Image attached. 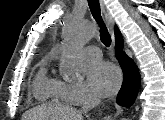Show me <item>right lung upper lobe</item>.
Masks as SVG:
<instances>
[{
    "instance_id": "right-lung-upper-lobe-1",
    "label": "right lung upper lobe",
    "mask_w": 165,
    "mask_h": 120,
    "mask_svg": "<svg viewBox=\"0 0 165 120\" xmlns=\"http://www.w3.org/2000/svg\"><path fill=\"white\" fill-rule=\"evenodd\" d=\"M121 33L119 31V29L117 27H115V38L118 39V38H121Z\"/></svg>"
}]
</instances>
